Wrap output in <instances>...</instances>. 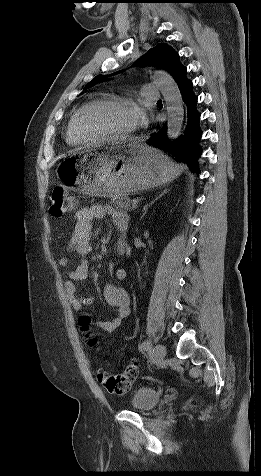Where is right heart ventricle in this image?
<instances>
[{
  "mask_svg": "<svg viewBox=\"0 0 261 476\" xmlns=\"http://www.w3.org/2000/svg\"><path fill=\"white\" fill-rule=\"evenodd\" d=\"M74 117V116H73ZM73 117L70 119L69 123H68V126H67V130H66V140H67V143L71 146H79L81 145L83 142L80 141L77 136L75 135L74 133V130H73Z\"/></svg>",
  "mask_w": 261,
  "mask_h": 476,
  "instance_id": "right-heart-ventricle-1",
  "label": "right heart ventricle"
}]
</instances>
